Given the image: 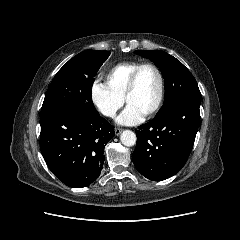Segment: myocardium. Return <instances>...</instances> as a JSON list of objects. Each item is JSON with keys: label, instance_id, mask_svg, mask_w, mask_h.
<instances>
[{"label": "myocardium", "instance_id": "1", "mask_svg": "<svg viewBox=\"0 0 240 240\" xmlns=\"http://www.w3.org/2000/svg\"><path fill=\"white\" fill-rule=\"evenodd\" d=\"M144 68L153 69L155 71V73L157 74V77L159 80V90H158V95H157L156 101L153 104V106L147 112L144 113V115L148 117V116L153 115L160 108L163 98H164L165 80H164L162 71L156 64L142 63L133 71V73L131 74L129 81H128L124 99L127 102L128 97L134 92V90L136 88L138 76Z\"/></svg>", "mask_w": 240, "mask_h": 240}]
</instances>
